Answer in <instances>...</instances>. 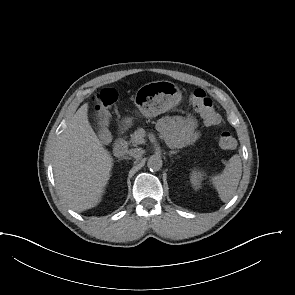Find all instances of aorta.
Here are the masks:
<instances>
[{
  "label": "aorta",
  "instance_id": "obj_1",
  "mask_svg": "<svg viewBox=\"0 0 295 295\" xmlns=\"http://www.w3.org/2000/svg\"><path fill=\"white\" fill-rule=\"evenodd\" d=\"M162 165V159L157 155H152L147 162V167L152 171H159L162 168Z\"/></svg>",
  "mask_w": 295,
  "mask_h": 295
}]
</instances>
